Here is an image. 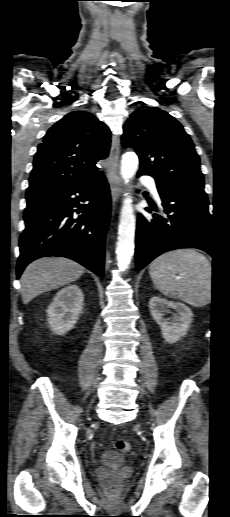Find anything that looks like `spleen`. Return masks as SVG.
<instances>
[{
    "label": "spleen",
    "instance_id": "obj_1",
    "mask_svg": "<svg viewBox=\"0 0 230 517\" xmlns=\"http://www.w3.org/2000/svg\"><path fill=\"white\" fill-rule=\"evenodd\" d=\"M154 286L165 296L194 307L211 301L212 267L209 260L192 249L167 252L149 267Z\"/></svg>",
    "mask_w": 230,
    "mask_h": 517
}]
</instances>
